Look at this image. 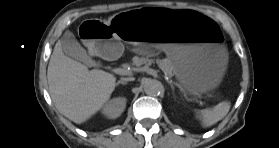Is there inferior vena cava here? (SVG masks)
Returning <instances> with one entry per match:
<instances>
[{
	"instance_id": "inferior-vena-cava-1",
	"label": "inferior vena cava",
	"mask_w": 279,
	"mask_h": 148,
	"mask_svg": "<svg viewBox=\"0 0 279 148\" xmlns=\"http://www.w3.org/2000/svg\"><path fill=\"white\" fill-rule=\"evenodd\" d=\"M121 80L127 82V81H133L134 78L133 77L121 78Z\"/></svg>"
}]
</instances>
